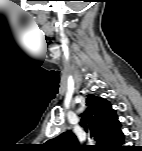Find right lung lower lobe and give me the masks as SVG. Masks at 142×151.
<instances>
[{"label": "right lung lower lobe", "instance_id": "obj_1", "mask_svg": "<svg viewBox=\"0 0 142 151\" xmlns=\"http://www.w3.org/2000/svg\"><path fill=\"white\" fill-rule=\"evenodd\" d=\"M122 142L120 144H118L116 147H114V149L112 151H123V150H127V148L125 146L121 145Z\"/></svg>", "mask_w": 142, "mask_h": 151}]
</instances>
